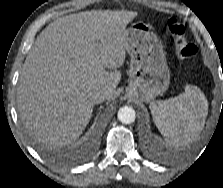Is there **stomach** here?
I'll return each instance as SVG.
<instances>
[{
	"label": "stomach",
	"instance_id": "stomach-1",
	"mask_svg": "<svg viewBox=\"0 0 223 188\" xmlns=\"http://www.w3.org/2000/svg\"><path fill=\"white\" fill-rule=\"evenodd\" d=\"M126 51L131 58L126 96L148 103L163 94L170 83V72L163 46L148 24L136 22L126 29Z\"/></svg>",
	"mask_w": 223,
	"mask_h": 188
}]
</instances>
